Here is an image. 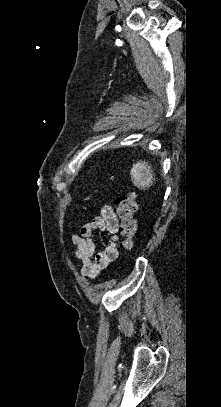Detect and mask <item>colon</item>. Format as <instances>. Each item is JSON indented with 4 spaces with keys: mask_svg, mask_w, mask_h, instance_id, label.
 Wrapping results in <instances>:
<instances>
[{
    "mask_svg": "<svg viewBox=\"0 0 221 407\" xmlns=\"http://www.w3.org/2000/svg\"><path fill=\"white\" fill-rule=\"evenodd\" d=\"M116 214L119 219V234L121 236L120 247L129 250L136 235L137 227L134 214L137 210V198L134 193L121 195L116 198Z\"/></svg>",
    "mask_w": 221,
    "mask_h": 407,
    "instance_id": "1",
    "label": "colon"
}]
</instances>
